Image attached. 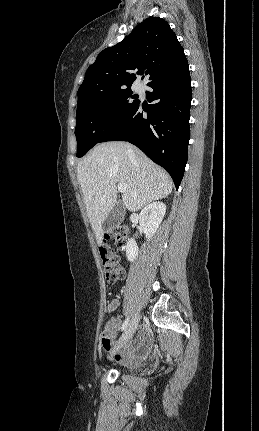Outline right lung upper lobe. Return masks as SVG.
Instances as JSON below:
<instances>
[{
  "label": "right lung upper lobe",
  "mask_w": 259,
  "mask_h": 431,
  "mask_svg": "<svg viewBox=\"0 0 259 431\" xmlns=\"http://www.w3.org/2000/svg\"><path fill=\"white\" fill-rule=\"evenodd\" d=\"M185 64L183 47L169 24L149 17L124 40L99 53L78 90V104L89 96L131 88L143 70L150 74V85Z\"/></svg>",
  "instance_id": "1"
}]
</instances>
